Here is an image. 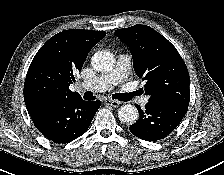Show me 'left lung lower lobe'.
Wrapping results in <instances>:
<instances>
[{
	"instance_id": "0a47b994",
	"label": "left lung lower lobe",
	"mask_w": 224,
	"mask_h": 175,
	"mask_svg": "<svg viewBox=\"0 0 224 175\" xmlns=\"http://www.w3.org/2000/svg\"><path fill=\"white\" fill-rule=\"evenodd\" d=\"M139 120L130 126V132L145 141L167 137L182 121L188 106L149 101L144 110L136 104Z\"/></svg>"
}]
</instances>
